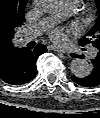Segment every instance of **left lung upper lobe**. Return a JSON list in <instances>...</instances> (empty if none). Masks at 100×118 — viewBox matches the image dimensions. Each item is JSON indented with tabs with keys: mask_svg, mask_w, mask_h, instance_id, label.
Returning a JSON list of instances; mask_svg holds the SVG:
<instances>
[{
	"mask_svg": "<svg viewBox=\"0 0 100 118\" xmlns=\"http://www.w3.org/2000/svg\"><path fill=\"white\" fill-rule=\"evenodd\" d=\"M98 6V19L96 24L90 29L85 37L79 40L81 46L92 44L95 48L100 49V0H95Z\"/></svg>",
	"mask_w": 100,
	"mask_h": 118,
	"instance_id": "1",
	"label": "left lung upper lobe"
}]
</instances>
